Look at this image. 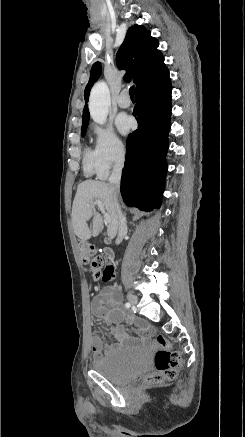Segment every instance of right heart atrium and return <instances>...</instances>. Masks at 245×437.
Returning <instances> with one entry per match:
<instances>
[{"label":"right heart atrium","instance_id":"d8ad5b80","mask_svg":"<svg viewBox=\"0 0 245 437\" xmlns=\"http://www.w3.org/2000/svg\"><path fill=\"white\" fill-rule=\"evenodd\" d=\"M94 136L93 157L97 174L107 177L113 168L119 167L126 154L124 141L110 126H95L92 129Z\"/></svg>","mask_w":245,"mask_h":437}]
</instances>
